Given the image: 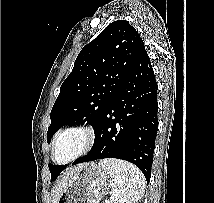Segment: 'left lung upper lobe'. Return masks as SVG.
<instances>
[{
    "label": "left lung upper lobe",
    "mask_w": 214,
    "mask_h": 203,
    "mask_svg": "<svg viewBox=\"0 0 214 203\" xmlns=\"http://www.w3.org/2000/svg\"><path fill=\"white\" fill-rule=\"evenodd\" d=\"M145 51L136 29L124 20L112 22L84 46L51 110L48 143L65 125L86 123L95 131L115 93ZM64 168L66 165L49 164L51 180Z\"/></svg>",
    "instance_id": "left-lung-upper-lobe-1"
}]
</instances>
